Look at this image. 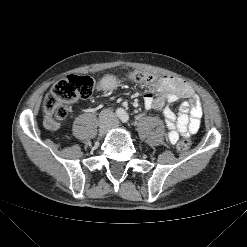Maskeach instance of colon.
I'll use <instances>...</instances> for the list:
<instances>
[{"label": "colon", "mask_w": 247, "mask_h": 247, "mask_svg": "<svg viewBox=\"0 0 247 247\" xmlns=\"http://www.w3.org/2000/svg\"><path fill=\"white\" fill-rule=\"evenodd\" d=\"M131 82L156 84L163 79L155 74L143 71H134L126 75ZM93 90V81L89 76L69 75L58 81L48 95L44 110L46 114L45 124L48 128H56L60 121L68 115L67 103L87 98ZM191 138L185 137L180 140L177 147L187 150L191 147Z\"/></svg>", "instance_id": "1"}]
</instances>
